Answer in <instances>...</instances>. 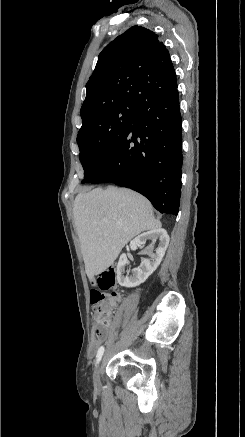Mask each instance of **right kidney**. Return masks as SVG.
I'll use <instances>...</instances> for the list:
<instances>
[{
  "mask_svg": "<svg viewBox=\"0 0 245 437\" xmlns=\"http://www.w3.org/2000/svg\"><path fill=\"white\" fill-rule=\"evenodd\" d=\"M148 239H151L153 242L159 240L158 248L156 252L153 253V246L147 247L145 253L148 254L150 259H142L140 266L134 268L131 275L129 272L125 275V267L129 265L126 254L120 256L116 273L117 281L121 286L132 288L140 285L148 279L161 263L169 244V236L166 230L162 228L150 230L138 235L130 242L131 250H136L137 247L144 245Z\"/></svg>",
  "mask_w": 245,
  "mask_h": 437,
  "instance_id": "1",
  "label": "right kidney"
}]
</instances>
